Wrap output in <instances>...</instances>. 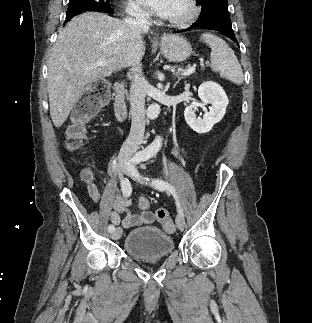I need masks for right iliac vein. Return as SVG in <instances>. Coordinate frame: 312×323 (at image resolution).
I'll return each instance as SVG.
<instances>
[{
	"instance_id": "obj_1",
	"label": "right iliac vein",
	"mask_w": 312,
	"mask_h": 323,
	"mask_svg": "<svg viewBox=\"0 0 312 323\" xmlns=\"http://www.w3.org/2000/svg\"><path fill=\"white\" fill-rule=\"evenodd\" d=\"M124 172H125V174L129 175L131 173V168L126 166L124 168ZM121 234H122V228L120 226H118L112 232L111 238L114 239V240H117V239H119L121 237Z\"/></svg>"
}]
</instances>
